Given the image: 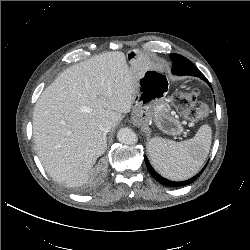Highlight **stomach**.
Listing matches in <instances>:
<instances>
[{"instance_id": "0dacf381", "label": "stomach", "mask_w": 250, "mask_h": 250, "mask_svg": "<svg viewBox=\"0 0 250 250\" xmlns=\"http://www.w3.org/2000/svg\"><path fill=\"white\" fill-rule=\"evenodd\" d=\"M131 70L136 71L146 61L138 50H131L127 54ZM168 83L160 79L152 70L144 71L137 79L133 92L132 122L138 127H146L151 121L165 133L176 135L182 132L179 121L170 113L165 101Z\"/></svg>"}]
</instances>
